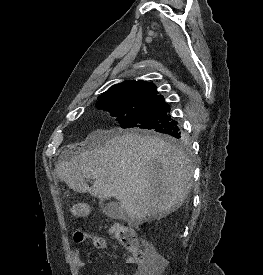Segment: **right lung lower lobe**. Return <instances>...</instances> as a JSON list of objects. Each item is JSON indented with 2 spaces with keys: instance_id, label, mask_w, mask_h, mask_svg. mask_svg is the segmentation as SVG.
<instances>
[{
  "instance_id": "98d812e1",
  "label": "right lung lower lobe",
  "mask_w": 263,
  "mask_h": 275,
  "mask_svg": "<svg viewBox=\"0 0 263 275\" xmlns=\"http://www.w3.org/2000/svg\"><path fill=\"white\" fill-rule=\"evenodd\" d=\"M177 124L178 123H175L174 125H172L168 128L161 129V130H159V132L163 133V134L174 136L176 138H182V133H181Z\"/></svg>"
}]
</instances>
